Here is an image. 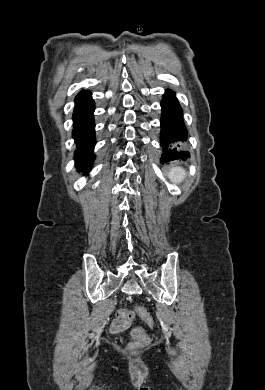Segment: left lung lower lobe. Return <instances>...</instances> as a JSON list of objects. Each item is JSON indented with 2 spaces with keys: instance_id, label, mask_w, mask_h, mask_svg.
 I'll use <instances>...</instances> for the list:
<instances>
[{
  "instance_id": "1",
  "label": "left lung lower lobe",
  "mask_w": 265,
  "mask_h": 390,
  "mask_svg": "<svg viewBox=\"0 0 265 390\" xmlns=\"http://www.w3.org/2000/svg\"><path fill=\"white\" fill-rule=\"evenodd\" d=\"M161 107L160 141L163 154L160 162L163 164L174 160H186L190 157V153L184 149L187 129L183 123L182 108L173 91H166Z\"/></svg>"
}]
</instances>
